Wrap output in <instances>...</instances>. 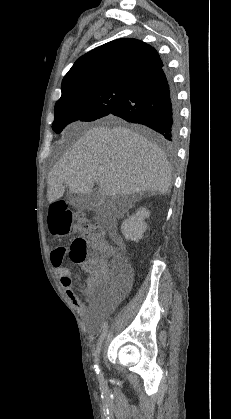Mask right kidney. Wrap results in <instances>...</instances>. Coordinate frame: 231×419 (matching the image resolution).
Here are the masks:
<instances>
[{
	"label": "right kidney",
	"mask_w": 231,
	"mask_h": 419,
	"mask_svg": "<svg viewBox=\"0 0 231 419\" xmlns=\"http://www.w3.org/2000/svg\"><path fill=\"white\" fill-rule=\"evenodd\" d=\"M150 211L146 208H140L136 214L123 221L121 225L122 234L125 239L138 241L142 238L143 233L147 230V223L144 221L149 218Z\"/></svg>",
	"instance_id": "obj_1"
}]
</instances>
